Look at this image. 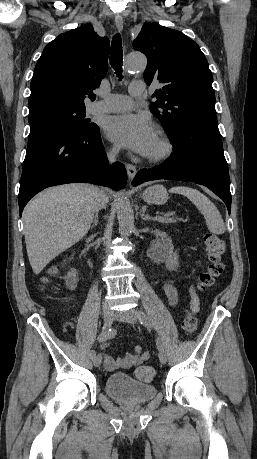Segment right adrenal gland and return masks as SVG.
<instances>
[{
  "mask_svg": "<svg viewBox=\"0 0 257 459\" xmlns=\"http://www.w3.org/2000/svg\"><path fill=\"white\" fill-rule=\"evenodd\" d=\"M97 224H98V211L95 212L94 220L92 222L91 228H94V226H97Z\"/></svg>",
  "mask_w": 257,
  "mask_h": 459,
  "instance_id": "obj_1",
  "label": "right adrenal gland"
}]
</instances>
